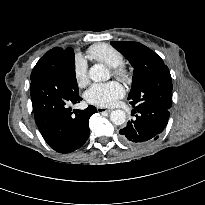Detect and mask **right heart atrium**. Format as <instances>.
<instances>
[{
  "mask_svg": "<svg viewBox=\"0 0 205 205\" xmlns=\"http://www.w3.org/2000/svg\"><path fill=\"white\" fill-rule=\"evenodd\" d=\"M73 76L79 87H84L89 82L88 64L81 54H76L73 59Z\"/></svg>",
  "mask_w": 205,
  "mask_h": 205,
  "instance_id": "obj_1",
  "label": "right heart atrium"
}]
</instances>
